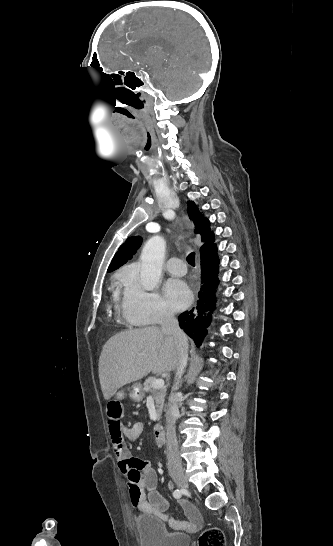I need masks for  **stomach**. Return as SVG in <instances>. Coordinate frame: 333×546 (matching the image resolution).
Returning <instances> with one entry per match:
<instances>
[{
  "instance_id": "stomach-1",
  "label": "stomach",
  "mask_w": 333,
  "mask_h": 546,
  "mask_svg": "<svg viewBox=\"0 0 333 546\" xmlns=\"http://www.w3.org/2000/svg\"><path fill=\"white\" fill-rule=\"evenodd\" d=\"M129 396L132 400L139 402L144 398L143 388L140 384H134L129 389Z\"/></svg>"
}]
</instances>
